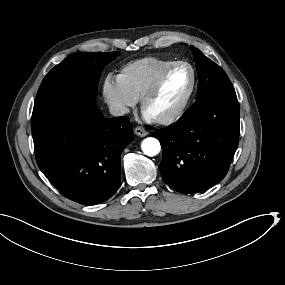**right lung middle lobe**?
<instances>
[{
  "instance_id": "dd1d6c3e",
  "label": "right lung middle lobe",
  "mask_w": 285,
  "mask_h": 285,
  "mask_svg": "<svg viewBox=\"0 0 285 285\" xmlns=\"http://www.w3.org/2000/svg\"><path fill=\"white\" fill-rule=\"evenodd\" d=\"M120 52H78L52 68L38 90L35 103L66 89H79L97 94L103 68Z\"/></svg>"
}]
</instances>
